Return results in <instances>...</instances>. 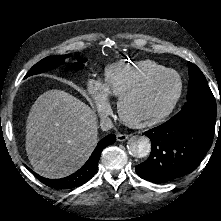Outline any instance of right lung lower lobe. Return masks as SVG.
<instances>
[{
  "label": "right lung lower lobe",
  "mask_w": 221,
  "mask_h": 221,
  "mask_svg": "<svg viewBox=\"0 0 221 221\" xmlns=\"http://www.w3.org/2000/svg\"><path fill=\"white\" fill-rule=\"evenodd\" d=\"M116 140L115 135H108L104 137L96 146L95 150L87 160V162L75 173L60 179H48L41 177L35 172L31 171L34 176L45 185L55 189H72L79 187L89 181L97 171L98 161L102 150Z\"/></svg>",
  "instance_id": "98d812e1"
}]
</instances>
